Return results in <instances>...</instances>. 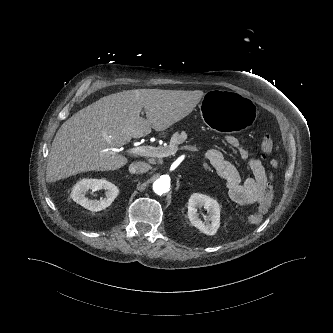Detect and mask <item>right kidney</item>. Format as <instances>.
<instances>
[{"label":"right kidney","mask_w":333,"mask_h":333,"mask_svg":"<svg viewBox=\"0 0 333 333\" xmlns=\"http://www.w3.org/2000/svg\"><path fill=\"white\" fill-rule=\"evenodd\" d=\"M104 189L105 198L100 200H90L85 197L87 191H97ZM119 189L111 182L105 179H83L78 182L71 192L72 199L90 211H101L107 208L117 197Z\"/></svg>","instance_id":"ca27d5eb"}]
</instances>
